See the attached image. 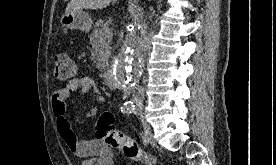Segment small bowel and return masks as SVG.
<instances>
[{
	"label": "small bowel",
	"mask_w": 276,
	"mask_h": 165,
	"mask_svg": "<svg viewBox=\"0 0 276 165\" xmlns=\"http://www.w3.org/2000/svg\"><path fill=\"white\" fill-rule=\"evenodd\" d=\"M76 91L93 93L102 101L95 81L89 77L72 78L55 88L51 94V106L57 130L70 151L82 160L81 165H113L116 153L110 146L98 138L82 140L73 130L66 115V100Z\"/></svg>",
	"instance_id": "obj_1"
}]
</instances>
